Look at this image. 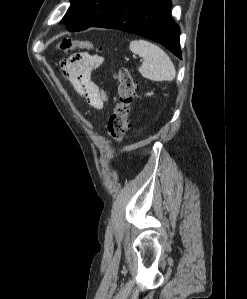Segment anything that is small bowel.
<instances>
[{"instance_id": "c3829d8e", "label": "small bowel", "mask_w": 247, "mask_h": 299, "mask_svg": "<svg viewBox=\"0 0 247 299\" xmlns=\"http://www.w3.org/2000/svg\"><path fill=\"white\" fill-rule=\"evenodd\" d=\"M102 63L100 55L87 52L74 54L61 61V68L77 94L95 110H101L108 101L106 93L91 79L93 71Z\"/></svg>"}]
</instances>
